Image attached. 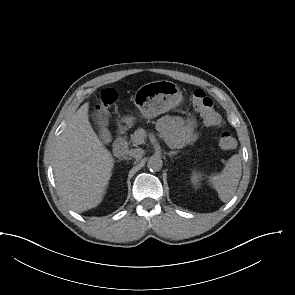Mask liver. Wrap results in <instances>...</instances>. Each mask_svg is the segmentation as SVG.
Listing matches in <instances>:
<instances>
[{"label": "liver", "instance_id": "liver-1", "mask_svg": "<svg viewBox=\"0 0 295 295\" xmlns=\"http://www.w3.org/2000/svg\"><path fill=\"white\" fill-rule=\"evenodd\" d=\"M89 104L70 118L53 153V172L63 201L74 211L98 206L114 166L110 151L94 132L88 119Z\"/></svg>", "mask_w": 295, "mask_h": 295}]
</instances>
